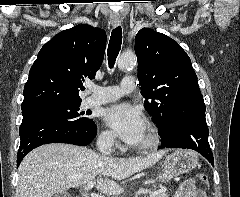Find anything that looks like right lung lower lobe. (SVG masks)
Masks as SVG:
<instances>
[{
    "label": "right lung lower lobe",
    "instance_id": "right-lung-lower-lobe-1",
    "mask_svg": "<svg viewBox=\"0 0 240 197\" xmlns=\"http://www.w3.org/2000/svg\"><path fill=\"white\" fill-rule=\"evenodd\" d=\"M22 115L23 120L19 128L21 141L17 155V167L26 154L43 144L69 143L87 146L96 136L95 123L83 130L49 113L25 112Z\"/></svg>",
    "mask_w": 240,
    "mask_h": 197
}]
</instances>
